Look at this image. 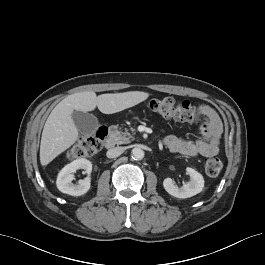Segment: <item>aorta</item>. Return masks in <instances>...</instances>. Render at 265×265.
<instances>
[{"instance_id": "1", "label": "aorta", "mask_w": 265, "mask_h": 265, "mask_svg": "<svg viewBox=\"0 0 265 265\" xmlns=\"http://www.w3.org/2000/svg\"><path fill=\"white\" fill-rule=\"evenodd\" d=\"M131 153H132V157L134 159H136V160L143 159L144 158V155H145L144 154V151L141 148H139V147L133 148Z\"/></svg>"}]
</instances>
